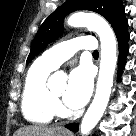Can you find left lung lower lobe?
<instances>
[{
  "label": "left lung lower lobe",
  "mask_w": 136,
  "mask_h": 136,
  "mask_svg": "<svg viewBox=\"0 0 136 136\" xmlns=\"http://www.w3.org/2000/svg\"><path fill=\"white\" fill-rule=\"evenodd\" d=\"M118 44H119V69H118V78H120L122 70L125 66L126 56L128 54V40H129V34H128V22L126 19H124L120 25L114 30ZM66 128L77 131L78 130V124H68L66 125Z\"/></svg>",
  "instance_id": "0a47b994"
}]
</instances>
